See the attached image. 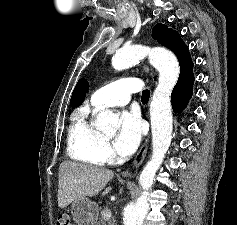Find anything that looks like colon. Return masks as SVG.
Here are the masks:
<instances>
[{
    "instance_id": "1",
    "label": "colon",
    "mask_w": 237,
    "mask_h": 225,
    "mask_svg": "<svg viewBox=\"0 0 237 225\" xmlns=\"http://www.w3.org/2000/svg\"><path fill=\"white\" fill-rule=\"evenodd\" d=\"M57 225H74L67 215H60L57 219Z\"/></svg>"
}]
</instances>
